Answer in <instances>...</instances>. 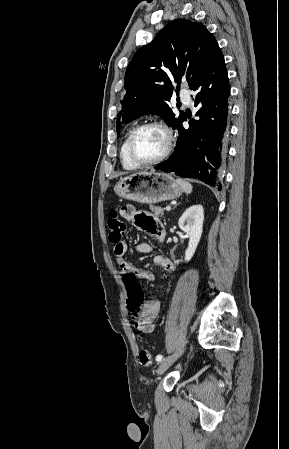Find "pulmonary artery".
I'll return each instance as SVG.
<instances>
[{
	"instance_id": "1",
	"label": "pulmonary artery",
	"mask_w": 289,
	"mask_h": 449,
	"mask_svg": "<svg viewBox=\"0 0 289 449\" xmlns=\"http://www.w3.org/2000/svg\"><path fill=\"white\" fill-rule=\"evenodd\" d=\"M182 100L184 101L185 104L190 105L191 104V93L188 90H184L182 91Z\"/></svg>"
}]
</instances>
